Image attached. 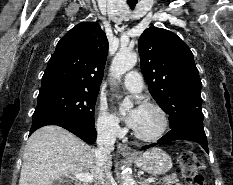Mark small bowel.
Masks as SVG:
<instances>
[{"label":"small bowel","mask_w":233,"mask_h":185,"mask_svg":"<svg viewBox=\"0 0 233 185\" xmlns=\"http://www.w3.org/2000/svg\"><path fill=\"white\" fill-rule=\"evenodd\" d=\"M175 185H183L182 183H177V184H175Z\"/></svg>","instance_id":"obj_1"}]
</instances>
